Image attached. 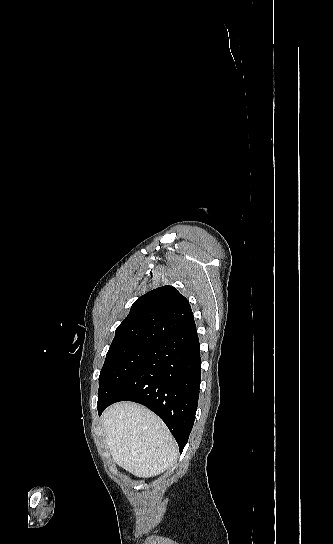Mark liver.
I'll return each mask as SVG.
<instances>
[{
  "mask_svg": "<svg viewBox=\"0 0 333 544\" xmlns=\"http://www.w3.org/2000/svg\"><path fill=\"white\" fill-rule=\"evenodd\" d=\"M102 425L114 461L135 476H156L177 460L178 447L170 431L141 405L110 406L102 415Z\"/></svg>",
  "mask_w": 333,
  "mask_h": 544,
  "instance_id": "liver-1",
  "label": "liver"
}]
</instances>
